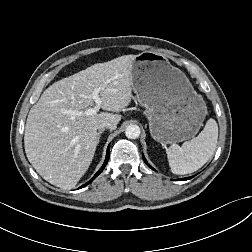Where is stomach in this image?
<instances>
[{"mask_svg": "<svg viewBox=\"0 0 252 252\" xmlns=\"http://www.w3.org/2000/svg\"><path fill=\"white\" fill-rule=\"evenodd\" d=\"M132 89L145 108L152 138L175 144L194 137L207 114L205 101L185 74L160 53L134 55Z\"/></svg>", "mask_w": 252, "mask_h": 252, "instance_id": "1", "label": "stomach"}]
</instances>
